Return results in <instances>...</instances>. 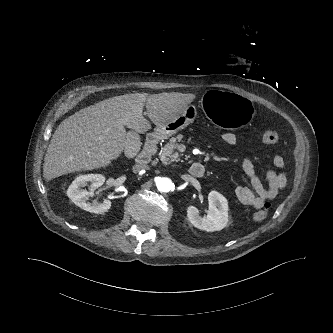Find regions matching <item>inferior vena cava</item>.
Listing matches in <instances>:
<instances>
[{
  "instance_id": "602c4592",
  "label": "inferior vena cava",
  "mask_w": 333,
  "mask_h": 333,
  "mask_svg": "<svg viewBox=\"0 0 333 333\" xmlns=\"http://www.w3.org/2000/svg\"><path fill=\"white\" fill-rule=\"evenodd\" d=\"M147 169H148V166L145 165V164H141V163L140 164H135L132 168L134 173H139V172L145 171Z\"/></svg>"
}]
</instances>
